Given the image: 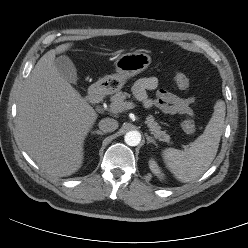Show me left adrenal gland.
<instances>
[{"instance_id":"left-adrenal-gland-1","label":"left adrenal gland","mask_w":248,"mask_h":248,"mask_svg":"<svg viewBox=\"0 0 248 248\" xmlns=\"http://www.w3.org/2000/svg\"><path fill=\"white\" fill-rule=\"evenodd\" d=\"M145 136H146V139H147V144L152 143L155 146H157V143H156L154 138L150 137L148 134H145Z\"/></svg>"}]
</instances>
